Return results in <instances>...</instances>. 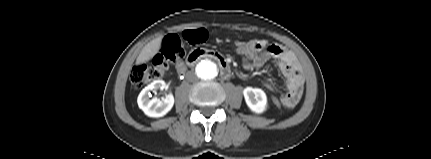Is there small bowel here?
<instances>
[{
    "label": "small bowel",
    "mask_w": 431,
    "mask_h": 159,
    "mask_svg": "<svg viewBox=\"0 0 431 159\" xmlns=\"http://www.w3.org/2000/svg\"><path fill=\"white\" fill-rule=\"evenodd\" d=\"M235 46L246 48V51L241 54L245 69L261 68L269 60L275 61L279 72L285 79L287 88V92L277 99V104L285 110L294 108L302 96L304 86V74L295 55L283 46L270 43L266 39H252L248 42L236 41ZM177 70H184V64L180 61L177 63ZM266 86L273 90L270 83H267Z\"/></svg>",
    "instance_id": "small-bowel-1"
}]
</instances>
